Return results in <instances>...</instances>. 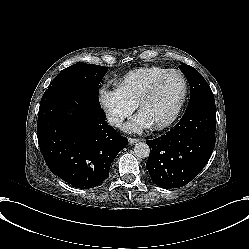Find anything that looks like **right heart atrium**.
I'll return each mask as SVG.
<instances>
[{"instance_id": "d8ad5b80", "label": "right heart atrium", "mask_w": 249, "mask_h": 249, "mask_svg": "<svg viewBox=\"0 0 249 249\" xmlns=\"http://www.w3.org/2000/svg\"><path fill=\"white\" fill-rule=\"evenodd\" d=\"M102 102L108 118L113 122L122 120L132 111V107L116 93H103Z\"/></svg>"}]
</instances>
